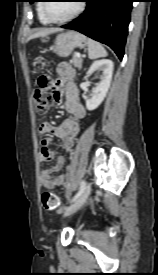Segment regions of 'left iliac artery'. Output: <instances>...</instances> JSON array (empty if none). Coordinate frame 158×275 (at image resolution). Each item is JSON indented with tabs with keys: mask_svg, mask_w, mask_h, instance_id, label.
Wrapping results in <instances>:
<instances>
[{
	"mask_svg": "<svg viewBox=\"0 0 158 275\" xmlns=\"http://www.w3.org/2000/svg\"><path fill=\"white\" fill-rule=\"evenodd\" d=\"M85 184H86V183H85L84 181L81 182L79 191H78L77 194L74 196V198L72 199L71 202L75 201V200L81 195V193L83 192V190H84V188H85Z\"/></svg>",
	"mask_w": 158,
	"mask_h": 275,
	"instance_id": "left-iliac-artery-1",
	"label": "left iliac artery"
}]
</instances>
